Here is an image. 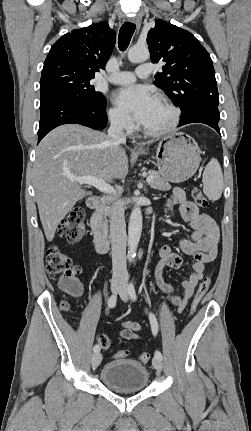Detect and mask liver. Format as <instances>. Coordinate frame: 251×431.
<instances>
[{"instance_id": "1", "label": "liver", "mask_w": 251, "mask_h": 431, "mask_svg": "<svg viewBox=\"0 0 251 431\" xmlns=\"http://www.w3.org/2000/svg\"><path fill=\"white\" fill-rule=\"evenodd\" d=\"M127 174L126 151L108 135L79 124L62 125L48 133L37 147L33 169L46 239L53 240L61 220L87 195L70 176H94L111 183Z\"/></svg>"}]
</instances>
